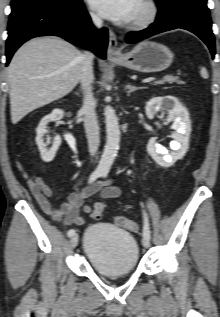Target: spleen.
<instances>
[{"label":"spleen","instance_id":"spleen-1","mask_svg":"<svg viewBox=\"0 0 220 317\" xmlns=\"http://www.w3.org/2000/svg\"><path fill=\"white\" fill-rule=\"evenodd\" d=\"M201 75H202V77H208V74H207V71H206V69L205 68H201Z\"/></svg>","mask_w":220,"mask_h":317}]
</instances>
